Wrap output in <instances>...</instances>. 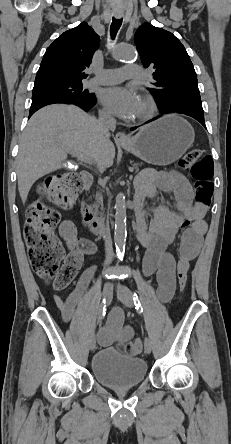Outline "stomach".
Masks as SVG:
<instances>
[{
  "mask_svg": "<svg viewBox=\"0 0 231 444\" xmlns=\"http://www.w3.org/2000/svg\"><path fill=\"white\" fill-rule=\"evenodd\" d=\"M194 137L185 119L169 114L143 127L121 147L147 163L164 166L178 160L192 146Z\"/></svg>",
  "mask_w": 231,
  "mask_h": 444,
  "instance_id": "1",
  "label": "stomach"
}]
</instances>
